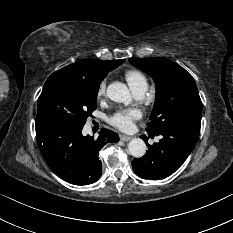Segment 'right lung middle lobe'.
<instances>
[{
	"label": "right lung middle lobe",
	"instance_id": "1",
	"mask_svg": "<svg viewBox=\"0 0 233 233\" xmlns=\"http://www.w3.org/2000/svg\"><path fill=\"white\" fill-rule=\"evenodd\" d=\"M100 83L56 71L47 79L38 98L36 123L58 122L84 126L97 107Z\"/></svg>",
	"mask_w": 233,
	"mask_h": 233
}]
</instances>
